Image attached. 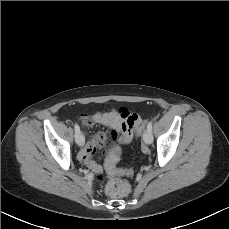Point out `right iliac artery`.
Returning a JSON list of instances; mask_svg holds the SVG:
<instances>
[{"label": "right iliac artery", "instance_id": "right-iliac-artery-1", "mask_svg": "<svg viewBox=\"0 0 229 229\" xmlns=\"http://www.w3.org/2000/svg\"><path fill=\"white\" fill-rule=\"evenodd\" d=\"M74 130H75V133L76 134H78V133H80V127H79V125L78 124H74Z\"/></svg>", "mask_w": 229, "mask_h": 229}]
</instances>
